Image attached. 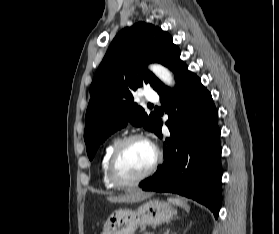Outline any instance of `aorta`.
<instances>
[{
  "label": "aorta",
  "instance_id": "1",
  "mask_svg": "<svg viewBox=\"0 0 279 234\" xmlns=\"http://www.w3.org/2000/svg\"><path fill=\"white\" fill-rule=\"evenodd\" d=\"M149 69L165 84L174 86V80L172 73L164 66L160 64H152Z\"/></svg>",
  "mask_w": 279,
  "mask_h": 234
}]
</instances>
